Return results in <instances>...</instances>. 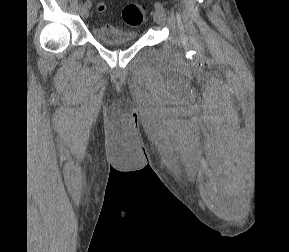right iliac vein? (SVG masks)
<instances>
[{"mask_svg": "<svg viewBox=\"0 0 289 252\" xmlns=\"http://www.w3.org/2000/svg\"><path fill=\"white\" fill-rule=\"evenodd\" d=\"M79 12L82 18L87 19L89 16V7H87L84 4H80L79 6Z\"/></svg>", "mask_w": 289, "mask_h": 252, "instance_id": "63e3f726", "label": "right iliac vein"}]
</instances>
